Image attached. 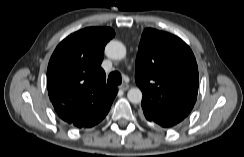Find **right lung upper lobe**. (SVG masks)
Segmentation results:
<instances>
[{
	"mask_svg": "<svg viewBox=\"0 0 244 157\" xmlns=\"http://www.w3.org/2000/svg\"><path fill=\"white\" fill-rule=\"evenodd\" d=\"M115 36L110 27H89L65 38L47 69L49 98L67 124L89 128L102 121L118 92L106 84L100 67L106 43Z\"/></svg>",
	"mask_w": 244,
	"mask_h": 157,
	"instance_id": "right-lung-upper-lobe-1",
	"label": "right lung upper lobe"
}]
</instances>
